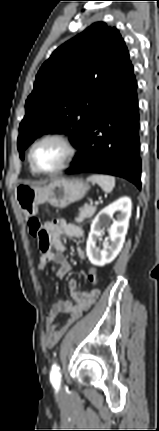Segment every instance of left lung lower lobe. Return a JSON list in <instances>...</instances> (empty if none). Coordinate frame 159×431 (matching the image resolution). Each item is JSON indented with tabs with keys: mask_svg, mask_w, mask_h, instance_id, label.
Here are the masks:
<instances>
[{
	"mask_svg": "<svg viewBox=\"0 0 159 431\" xmlns=\"http://www.w3.org/2000/svg\"><path fill=\"white\" fill-rule=\"evenodd\" d=\"M76 148L67 174H110L141 188L137 81L132 65L91 119Z\"/></svg>",
	"mask_w": 159,
	"mask_h": 431,
	"instance_id": "left-lung-lower-lobe-1",
	"label": "left lung lower lobe"
}]
</instances>
